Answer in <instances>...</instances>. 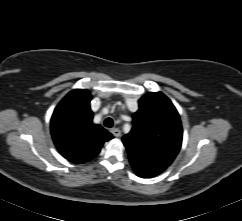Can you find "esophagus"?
Segmentation results:
<instances>
[{
  "mask_svg": "<svg viewBox=\"0 0 242 221\" xmlns=\"http://www.w3.org/2000/svg\"><path fill=\"white\" fill-rule=\"evenodd\" d=\"M111 133L115 136V137H119L121 135V131L118 128H112L111 129Z\"/></svg>",
  "mask_w": 242,
  "mask_h": 221,
  "instance_id": "34e87169",
  "label": "esophagus"
}]
</instances>
